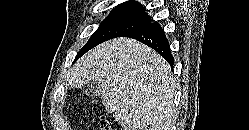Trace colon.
<instances>
[{"label":"colon","mask_w":249,"mask_h":130,"mask_svg":"<svg viewBox=\"0 0 249 130\" xmlns=\"http://www.w3.org/2000/svg\"><path fill=\"white\" fill-rule=\"evenodd\" d=\"M100 128L101 130H113L110 126V123L104 118H101Z\"/></svg>","instance_id":"colon-1"}]
</instances>
